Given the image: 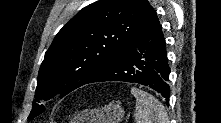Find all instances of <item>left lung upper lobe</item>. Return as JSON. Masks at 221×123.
Returning <instances> with one entry per match:
<instances>
[{
    "instance_id": "1",
    "label": "left lung upper lobe",
    "mask_w": 221,
    "mask_h": 123,
    "mask_svg": "<svg viewBox=\"0 0 221 123\" xmlns=\"http://www.w3.org/2000/svg\"><path fill=\"white\" fill-rule=\"evenodd\" d=\"M147 0H99L83 8L55 36L45 53L28 119L41 114L42 100L85 85L120 55L155 19Z\"/></svg>"
}]
</instances>
